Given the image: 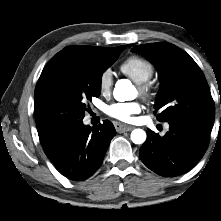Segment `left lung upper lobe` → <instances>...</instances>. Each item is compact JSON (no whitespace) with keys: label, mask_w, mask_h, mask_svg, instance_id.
<instances>
[{"label":"left lung upper lobe","mask_w":221,"mask_h":221,"mask_svg":"<svg viewBox=\"0 0 221 221\" xmlns=\"http://www.w3.org/2000/svg\"><path fill=\"white\" fill-rule=\"evenodd\" d=\"M157 69L160 90L155 109L159 121H185L210 133L215 107L206 79L189 54L177 46L159 42L133 47Z\"/></svg>","instance_id":"obj_1"}]
</instances>
